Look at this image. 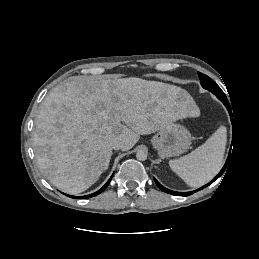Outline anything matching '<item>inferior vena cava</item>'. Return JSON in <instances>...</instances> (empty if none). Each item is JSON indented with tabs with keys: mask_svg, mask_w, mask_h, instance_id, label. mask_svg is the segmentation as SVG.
Instances as JSON below:
<instances>
[{
	"mask_svg": "<svg viewBox=\"0 0 259 259\" xmlns=\"http://www.w3.org/2000/svg\"><path fill=\"white\" fill-rule=\"evenodd\" d=\"M111 147L114 150H119L123 148V142L119 139H115L111 142Z\"/></svg>",
	"mask_w": 259,
	"mask_h": 259,
	"instance_id": "inferior-vena-cava-1",
	"label": "inferior vena cava"
}]
</instances>
